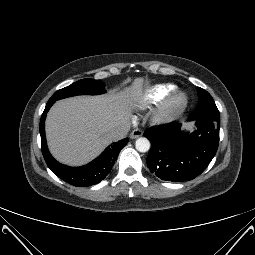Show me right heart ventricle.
Wrapping results in <instances>:
<instances>
[{
    "label": "right heart ventricle",
    "mask_w": 255,
    "mask_h": 255,
    "mask_svg": "<svg viewBox=\"0 0 255 255\" xmlns=\"http://www.w3.org/2000/svg\"><path fill=\"white\" fill-rule=\"evenodd\" d=\"M175 86L171 84L157 85L151 88L145 95L147 104L152 105L164 101L173 91Z\"/></svg>",
    "instance_id": "e07e8e85"
}]
</instances>
